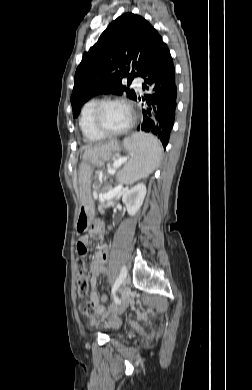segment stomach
Returning <instances> with one entry per match:
<instances>
[{
  "instance_id": "stomach-1",
  "label": "stomach",
  "mask_w": 252,
  "mask_h": 390,
  "mask_svg": "<svg viewBox=\"0 0 252 390\" xmlns=\"http://www.w3.org/2000/svg\"><path fill=\"white\" fill-rule=\"evenodd\" d=\"M120 149L117 142H111L98 149L85 151L83 161L79 169L80 207L76 220V226L85 229L95 216L94 203L91 198V182L95 168L102 167L109 161L113 154Z\"/></svg>"
}]
</instances>
